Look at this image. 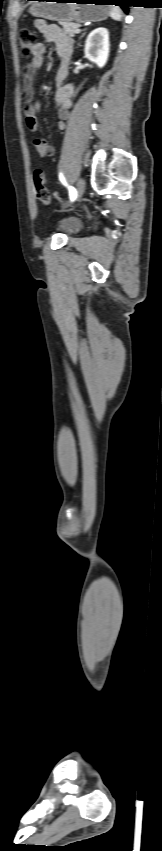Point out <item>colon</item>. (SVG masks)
I'll return each mask as SVG.
<instances>
[{"label":"colon","instance_id":"obj_1","mask_svg":"<svg viewBox=\"0 0 162 851\" xmlns=\"http://www.w3.org/2000/svg\"><path fill=\"white\" fill-rule=\"evenodd\" d=\"M19 44L22 55L24 57H28L30 54H32L33 48L37 44L35 32L32 29L23 28L19 33ZM33 183L38 199L41 200L44 204H49L52 196L63 201V199L57 192L51 193L49 191L46 186V178L44 172L41 169H36L34 171Z\"/></svg>","mask_w":162,"mask_h":851}]
</instances>
